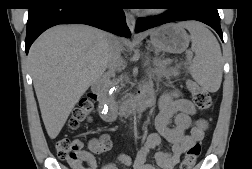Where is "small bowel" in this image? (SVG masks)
Returning a JSON list of instances; mask_svg holds the SVG:
<instances>
[{"mask_svg": "<svg viewBox=\"0 0 252 169\" xmlns=\"http://www.w3.org/2000/svg\"><path fill=\"white\" fill-rule=\"evenodd\" d=\"M153 90L147 88L142 96H151ZM194 105L178 92L166 93L160 97L159 113L155 119L157 132L152 133L147 138L144 145L138 151L133 167L134 169H155L146 163V158L151 149L158 146L162 140H166L172 145L171 152L159 151L155 155L157 164L163 169H172L180 160L183 153L192 145L203 139L207 123L202 119H194ZM174 120V126L170 127V122ZM89 150H81V160L88 164L87 168L96 169L94 154L109 151L112 148V140L109 134L103 133L98 137L91 138L88 142ZM131 158L124 155H117L113 161L109 162L101 169H119V165H131Z\"/></svg>", "mask_w": 252, "mask_h": 169, "instance_id": "small-bowel-1", "label": "small bowel"}]
</instances>
